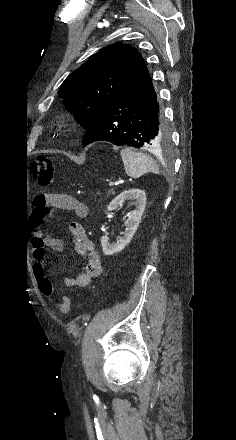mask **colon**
I'll return each instance as SVG.
<instances>
[{"label": "colon", "mask_w": 236, "mask_h": 440, "mask_svg": "<svg viewBox=\"0 0 236 440\" xmlns=\"http://www.w3.org/2000/svg\"><path fill=\"white\" fill-rule=\"evenodd\" d=\"M54 172V164L52 160L46 156H40L33 163L32 174L34 180L42 187L50 185ZM40 291L48 296L52 297L54 289L48 279L39 284ZM58 310L62 314H69L71 312V301L67 296H61L58 299Z\"/></svg>", "instance_id": "colon-1"}]
</instances>
